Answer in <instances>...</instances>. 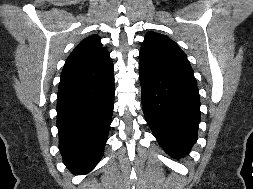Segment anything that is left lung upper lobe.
Returning a JSON list of instances; mask_svg holds the SVG:
<instances>
[{
    "instance_id": "left-lung-upper-lobe-1",
    "label": "left lung upper lobe",
    "mask_w": 253,
    "mask_h": 189,
    "mask_svg": "<svg viewBox=\"0 0 253 189\" xmlns=\"http://www.w3.org/2000/svg\"><path fill=\"white\" fill-rule=\"evenodd\" d=\"M140 65L196 83L185 53L174 41L162 34L154 32L146 34L140 49Z\"/></svg>"
}]
</instances>
